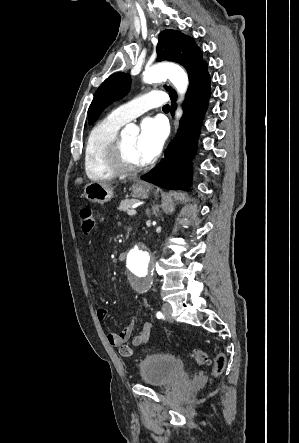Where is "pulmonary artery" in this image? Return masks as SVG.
Returning a JSON list of instances; mask_svg holds the SVG:
<instances>
[{
    "instance_id": "obj_1",
    "label": "pulmonary artery",
    "mask_w": 299,
    "mask_h": 443,
    "mask_svg": "<svg viewBox=\"0 0 299 443\" xmlns=\"http://www.w3.org/2000/svg\"><path fill=\"white\" fill-rule=\"evenodd\" d=\"M167 100L168 96L166 93L153 90L115 108L110 113V116L126 123L149 109L165 105Z\"/></svg>"
}]
</instances>
